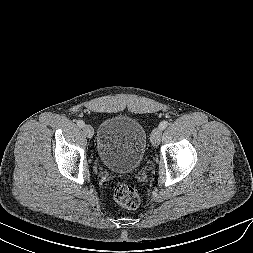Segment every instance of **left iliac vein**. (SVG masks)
Listing matches in <instances>:
<instances>
[{
  "label": "left iliac vein",
  "mask_w": 253,
  "mask_h": 253,
  "mask_svg": "<svg viewBox=\"0 0 253 253\" xmlns=\"http://www.w3.org/2000/svg\"><path fill=\"white\" fill-rule=\"evenodd\" d=\"M162 136V129L155 128L151 133V143L153 146H157L160 143Z\"/></svg>",
  "instance_id": "1"
}]
</instances>
